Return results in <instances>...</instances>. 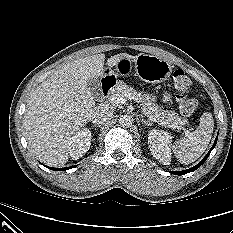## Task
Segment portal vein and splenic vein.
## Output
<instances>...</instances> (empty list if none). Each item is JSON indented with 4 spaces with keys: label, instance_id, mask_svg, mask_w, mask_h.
<instances>
[{
    "label": "portal vein and splenic vein",
    "instance_id": "18ae733b",
    "mask_svg": "<svg viewBox=\"0 0 233 233\" xmlns=\"http://www.w3.org/2000/svg\"><path fill=\"white\" fill-rule=\"evenodd\" d=\"M126 99H134V97L130 93L124 92L120 95L112 97L111 103H113L114 105H121L126 102ZM151 120L156 122L154 118H151ZM158 123L163 124L162 122H158ZM184 132L185 134H188L190 132V129H184Z\"/></svg>",
    "mask_w": 233,
    "mask_h": 233
}]
</instances>
